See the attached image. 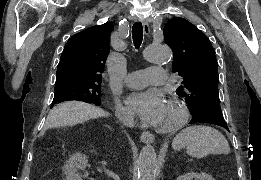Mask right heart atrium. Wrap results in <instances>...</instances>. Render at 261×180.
Here are the masks:
<instances>
[{
  "instance_id": "obj_1",
  "label": "right heart atrium",
  "mask_w": 261,
  "mask_h": 180,
  "mask_svg": "<svg viewBox=\"0 0 261 180\" xmlns=\"http://www.w3.org/2000/svg\"><path fill=\"white\" fill-rule=\"evenodd\" d=\"M114 104H115V107H116V110L119 114H124V109L123 107L121 106V104L114 98Z\"/></svg>"
}]
</instances>
